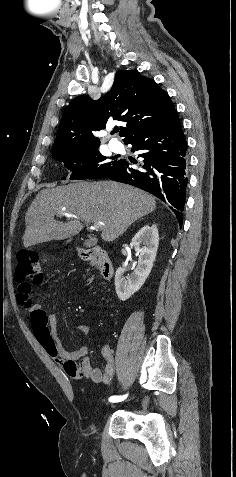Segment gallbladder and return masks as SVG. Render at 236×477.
<instances>
[{
  "label": "gallbladder",
  "instance_id": "1",
  "mask_svg": "<svg viewBox=\"0 0 236 477\" xmlns=\"http://www.w3.org/2000/svg\"><path fill=\"white\" fill-rule=\"evenodd\" d=\"M95 243H96L95 240L89 239V240L85 241L84 245L87 246V247H91V246H93Z\"/></svg>",
  "mask_w": 236,
  "mask_h": 477
}]
</instances>
